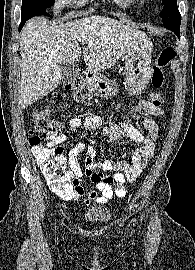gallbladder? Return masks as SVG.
I'll list each match as a JSON object with an SVG mask.
<instances>
[{
	"label": "gallbladder",
	"instance_id": "obj_1",
	"mask_svg": "<svg viewBox=\"0 0 195 270\" xmlns=\"http://www.w3.org/2000/svg\"><path fill=\"white\" fill-rule=\"evenodd\" d=\"M61 84H67L74 81L80 75V69L76 64H60Z\"/></svg>",
	"mask_w": 195,
	"mask_h": 270
}]
</instances>
